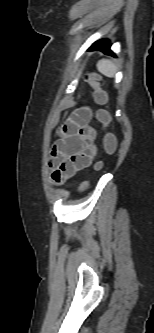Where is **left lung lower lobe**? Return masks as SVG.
I'll use <instances>...</instances> for the list:
<instances>
[{"label": "left lung lower lobe", "instance_id": "obj_1", "mask_svg": "<svg viewBox=\"0 0 154 333\" xmlns=\"http://www.w3.org/2000/svg\"><path fill=\"white\" fill-rule=\"evenodd\" d=\"M110 46H111L110 41L107 40V39H103V40H99V41L95 42L89 48V50H99V51H102L106 54L113 55V53L110 51Z\"/></svg>", "mask_w": 154, "mask_h": 333}]
</instances>
